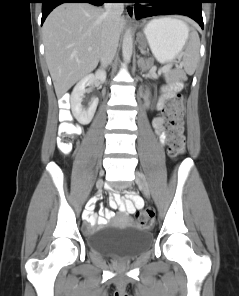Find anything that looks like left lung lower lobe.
I'll return each mask as SVG.
<instances>
[{"label":"left lung lower lobe","instance_id":"obj_1","mask_svg":"<svg viewBox=\"0 0 239 296\" xmlns=\"http://www.w3.org/2000/svg\"><path fill=\"white\" fill-rule=\"evenodd\" d=\"M142 3V2H137ZM151 7L135 5L137 19L156 15L180 14L195 20L203 29L202 6L204 0H149Z\"/></svg>","mask_w":239,"mask_h":296}]
</instances>
